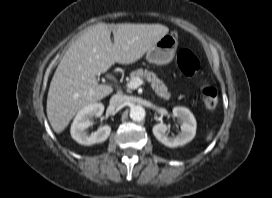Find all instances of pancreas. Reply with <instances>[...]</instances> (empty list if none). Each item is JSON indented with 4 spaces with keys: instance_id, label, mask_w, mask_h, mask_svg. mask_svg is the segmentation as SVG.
<instances>
[{
    "instance_id": "1",
    "label": "pancreas",
    "mask_w": 272,
    "mask_h": 198,
    "mask_svg": "<svg viewBox=\"0 0 272 198\" xmlns=\"http://www.w3.org/2000/svg\"><path fill=\"white\" fill-rule=\"evenodd\" d=\"M134 78L145 79L151 84V87L154 89L155 93L159 97L163 98L164 100L170 99L171 94L168 92V88L165 86L163 81L156 76L154 72L139 68L130 73V79L132 80Z\"/></svg>"
}]
</instances>
